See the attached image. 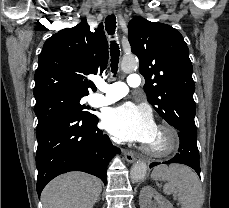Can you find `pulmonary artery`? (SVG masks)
<instances>
[{
  "label": "pulmonary artery",
  "mask_w": 229,
  "mask_h": 208,
  "mask_svg": "<svg viewBox=\"0 0 229 208\" xmlns=\"http://www.w3.org/2000/svg\"><path fill=\"white\" fill-rule=\"evenodd\" d=\"M141 82L142 78L137 73H129L126 78V82L118 81L112 84H108L103 80H99L96 83L98 93L91 95L89 102L94 106H101L112 103L127 95L129 87H139Z\"/></svg>",
  "instance_id": "1"
}]
</instances>
